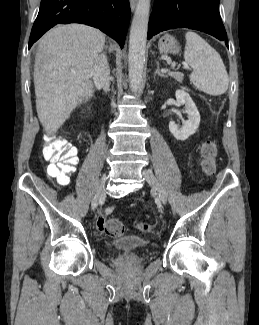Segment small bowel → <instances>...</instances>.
Returning <instances> with one entry per match:
<instances>
[{
  "instance_id": "1",
  "label": "small bowel",
  "mask_w": 259,
  "mask_h": 325,
  "mask_svg": "<svg viewBox=\"0 0 259 325\" xmlns=\"http://www.w3.org/2000/svg\"><path fill=\"white\" fill-rule=\"evenodd\" d=\"M105 223H106V216H105V214L99 215V217L97 219L98 229L101 230V231H104Z\"/></svg>"
}]
</instances>
